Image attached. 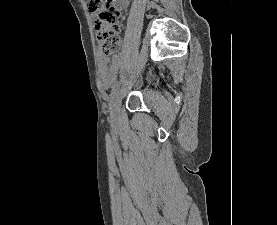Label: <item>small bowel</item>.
Listing matches in <instances>:
<instances>
[{"label": "small bowel", "mask_w": 277, "mask_h": 225, "mask_svg": "<svg viewBox=\"0 0 277 225\" xmlns=\"http://www.w3.org/2000/svg\"><path fill=\"white\" fill-rule=\"evenodd\" d=\"M126 5L127 0H117V7L123 8ZM121 63V55H115L111 59L101 53L98 55V74L104 86L108 87L114 84L118 77Z\"/></svg>", "instance_id": "1"}]
</instances>
